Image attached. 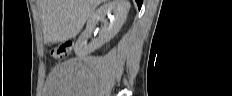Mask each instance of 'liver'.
<instances>
[{
  "label": "liver",
  "mask_w": 232,
  "mask_h": 96,
  "mask_svg": "<svg viewBox=\"0 0 232 96\" xmlns=\"http://www.w3.org/2000/svg\"><path fill=\"white\" fill-rule=\"evenodd\" d=\"M105 0H38L45 43L74 38L95 8Z\"/></svg>",
  "instance_id": "obj_1"
}]
</instances>
